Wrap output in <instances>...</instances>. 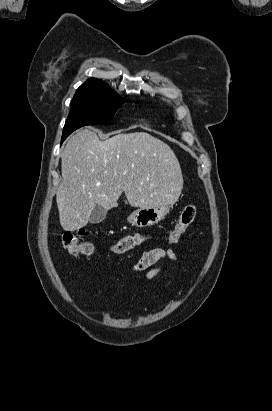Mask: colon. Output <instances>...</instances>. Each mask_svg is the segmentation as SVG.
I'll list each match as a JSON object with an SVG mask.
<instances>
[{
  "label": "colon",
  "mask_w": 272,
  "mask_h": 411,
  "mask_svg": "<svg viewBox=\"0 0 272 411\" xmlns=\"http://www.w3.org/2000/svg\"><path fill=\"white\" fill-rule=\"evenodd\" d=\"M196 216L197 207L193 204L186 205L183 208L177 223L170 232L169 241L171 243L178 242L194 223ZM62 243L66 251L73 255H91L94 250V246L91 242L81 241L78 235L71 231L63 232Z\"/></svg>",
  "instance_id": "5ec220e1"
}]
</instances>
